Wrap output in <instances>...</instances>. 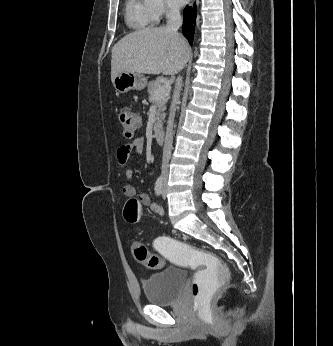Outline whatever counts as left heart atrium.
Instances as JSON below:
<instances>
[{
	"instance_id": "1",
	"label": "left heart atrium",
	"mask_w": 333,
	"mask_h": 346,
	"mask_svg": "<svg viewBox=\"0 0 333 346\" xmlns=\"http://www.w3.org/2000/svg\"><path fill=\"white\" fill-rule=\"evenodd\" d=\"M187 1L188 0H172L173 3L179 6L185 4Z\"/></svg>"
}]
</instances>
